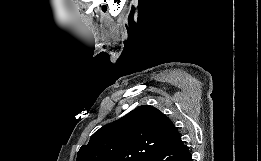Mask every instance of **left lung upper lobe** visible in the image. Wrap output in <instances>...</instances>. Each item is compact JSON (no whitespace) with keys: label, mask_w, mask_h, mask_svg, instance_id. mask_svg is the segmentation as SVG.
Returning <instances> with one entry per match:
<instances>
[{"label":"left lung upper lobe","mask_w":261,"mask_h":161,"mask_svg":"<svg viewBox=\"0 0 261 161\" xmlns=\"http://www.w3.org/2000/svg\"><path fill=\"white\" fill-rule=\"evenodd\" d=\"M177 132L160 110L142 105L96 131L76 161H149Z\"/></svg>","instance_id":"left-lung-upper-lobe-1"}]
</instances>
